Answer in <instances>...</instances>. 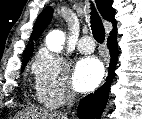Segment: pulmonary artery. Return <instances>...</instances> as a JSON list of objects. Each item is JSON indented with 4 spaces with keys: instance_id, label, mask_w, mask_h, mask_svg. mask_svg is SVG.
Instances as JSON below:
<instances>
[{
    "instance_id": "1",
    "label": "pulmonary artery",
    "mask_w": 142,
    "mask_h": 119,
    "mask_svg": "<svg viewBox=\"0 0 142 119\" xmlns=\"http://www.w3.org/2000/svg\"><path fill=\"white\" fill-rule=\"evenodd\" d=\"M77 48L82 54H90L94 51L95 44L91 37L85 36L80 39Z\"/></svg>"
}]
</instances>
